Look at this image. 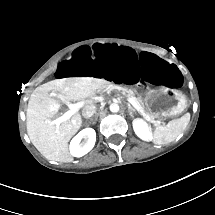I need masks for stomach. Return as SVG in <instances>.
<instances>
[{"instance_id": "0dacf381", "label": "stomach", "mask_w": 215, "mask_h": 215, "mask_svg": "<svg viewBox=\"0 0 215 215\" xmlns=\"http://www.w3.org/2000/svg\"><path fill=\"white\" fill-rule=\"evenodd\" d=\"M134 93L144 103L146 110L158 118L181 114L187 107L186 97L181 91L167 87L154 89L136 86Z\"/></svg>"}]
</instances>
